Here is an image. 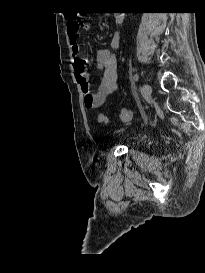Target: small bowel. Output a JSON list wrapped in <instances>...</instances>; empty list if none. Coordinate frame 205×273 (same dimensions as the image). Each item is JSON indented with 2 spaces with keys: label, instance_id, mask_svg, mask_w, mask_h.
<instances>
[{
  "label": "small bowel",
  "instance_id": "1",
  "mask_svg": "<svg viewBox=\"0 0 205 273\" xmlns=\"http://www.w3.org/2000/svg\"><path fill=\"white\" fill-rule=\"evenodd\" d=\"M79 19H69L67 31L72 53L75 58L73 63L74 75L84 94V105L88 109L101 107L106 99L118 90L117 60L111 51L120 44V36L115 35L110 43V48H99L96 50V60L98 68L102 72V77L95 92L89 88L88 75L85 71L84 55L78 42L81 29H88V24L83 23L81 28H76Z\"/></svg>",
  "mask_w": 205,
  "mask_h": 273
}]
</instances>
